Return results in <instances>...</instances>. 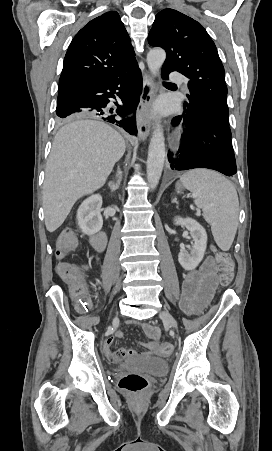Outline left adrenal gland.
<instances>
[{
  "mask_svg": "<svg viewBox=\"0 0 272 451\" xmlns=\"http://www.w3.org/2000/svg\"><path fill=\"white\" fill-rule=\"evenodd\" d=\"M172 204H178L177 198H174V200H172Z\"/></svg>",
  "mask_w": 272,
  "mask_h": 451,
  "instance_id": "left-adrenal-gland-1",
  "label": "left adrenal gland"
}]
</instances>
